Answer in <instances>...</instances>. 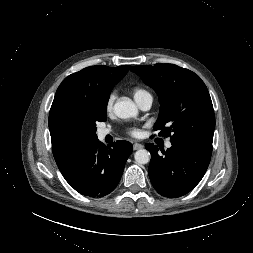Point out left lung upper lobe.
<instances>
[{
	"label": "left lung upper lobe",
	"instance_id": "obj_1",
	"mask_svg": "<svg viewBox=\"0 0 253 253\" xmlns=\"http://www.w3.org/2000/svg\"><path fill=\"white\" fill-rule=\"evenodd\" d=\"M159 96L160 112L154 130L170 136L172 145L212 154L215 116L206 85L194 72L174 64L133 66Z\"/></svg>",
	"mask_w": 253,
	"mask_h": 253
}]
</instances>
